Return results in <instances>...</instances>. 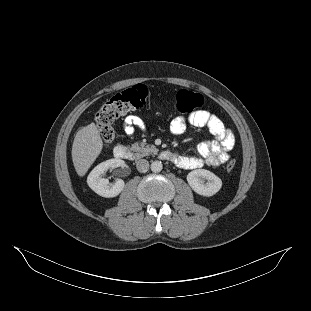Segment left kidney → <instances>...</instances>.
I'll return each instance as SVG.
<instances>
[{"instance_id":"1","label":"left kidney","mask_w":311,"mask_h":311,"mask_svg":"<svg viewBox=\"0 0 311 311\" xmlns=\"http://www.w3.org/2000/svg\"><path fill=\"white\" fill-rule=\"evenodd\" d=\"M188 183L199 194L210 196L222 186L221 179L206 169H196L187 176Z\"/></svg>"}]
</instances>
